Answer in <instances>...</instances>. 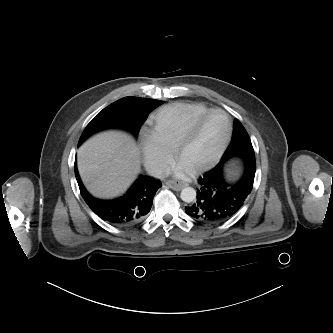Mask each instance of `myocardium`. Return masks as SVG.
<instances>
[{
    "label": "myocardium",
    "mask_w": 333,
    "mask_h": 333,
    "mask_svg": "<svg viewBox=\"0 0 333 333\" xmlns=\"http://www.w3.org/2000/svg\"><path fill=\"white\" fill-rule=\"evenodd\" d=\"M213 113H220L226 118L227 124H228L227 132H226V135H225L221 145L219 146L216 154L214 155V157L209 162L192 169V172L196 173V174L203 173L205 171L212 169L219 163V161L223 157L225 151L227 150V148L229 146V143L231 141L232 134H233V122H232L231 116L226 111H224L220 108L209 109L207 112H205L201 116L197 117L195 120H193L190 123V125L186 128V130L180 136V138L178 139V141L176 142V144L174 145V148H173L174 155L176 158H178L180 153L182 152V150L185 148V146L194 136L199 125Z\"/></svg>",
    "instance_id": "obj_1"
}]
</instances>
